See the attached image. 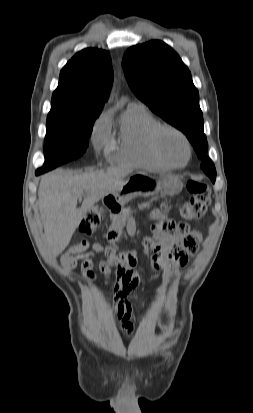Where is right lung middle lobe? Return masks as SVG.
Instances as JSON below:
<instances>
[{"instance_id": "obj_1", "label": "right lung middle lobe", "mask_w": 253, "mask_h": 413, "mask_svg": "<svg viewBox=\"0 0 253 413\" xmlns=\"http://www.w3.org/2000/svg\"><path fill=\"white\" fill-rule=\"evenodd\" d=\"M98 116H56L47 118L45 162L40 172L79 158L89 145V137Z\"/></svg>"}]
</instances>
